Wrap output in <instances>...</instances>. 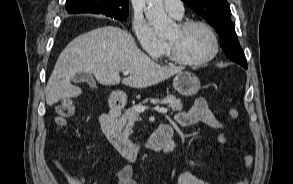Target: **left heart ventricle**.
<instances>
[{
  "mask_svg": "<svg viewBox=\"0 0 293 184\" xmlns=\"http://www.w3.org/2000/svg\"><path fill=\"white\" fill-rule=\"evenodd\" d=\"M177 52L185 59L198 60L207 56L213 47L210 34L200 26L180 31L178 27L167 37Z\"/></svg>",
  "mask_w": 293,
  "mask_h": 184,
  "instance_id": "1",
  "label": "left heart ventricle"
}]
</instances>
